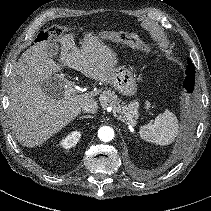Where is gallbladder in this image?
<instances>
[{
  "mask_svg": "<svg viewBox=\"0 0 211 211\" xmlns=\"http://www.w3.org/2000/svg\"><path fill=\"white\" fill-rule=\"evenodd\" d=\"M46 51H47L48 55L51 56L53 59L58 58L59 51H60L58 43L50 42L48 44ZM60 83H63V81L60 78H53L49 82H47L43 85V89L49 96L55 97L56 93L52 92L51 87L53 85H57V84H60Z\"/></svg>",
  "mask_w": 211,
  "mask_h": 211,
  "instance_id": "gallbladder-1",
  "label": "gallbladder"
}]
</instances>
